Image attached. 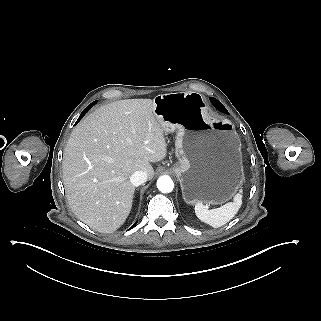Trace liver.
I'll return each mask as SVG.
<instances>
[{"instance_id":"liver-1","label":"liver","mask_w":321,"mask_h":321,"mask_svg":"<svg viewBox=\"0 0 321 321\" xmlns=\"http://www.w3.org/2000/svg\"><path fill=\"white\" fill-rule=\"evenodd\" d=\"M167 144L151 99L102 105L73 129L63 154L66 197L90 228L113 233L128 217L135 186L130 177L163 160Z\"/></svg>"}]
</instances>
